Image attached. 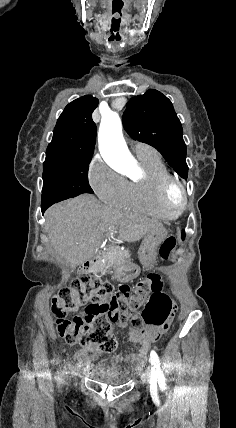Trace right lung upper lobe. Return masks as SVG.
<instances>
[{
  "label": "right lung upper lobe",
  "mask_w": 236,
  "mask_h": 428,
  "mask_svg": "<svg viewBox=\"0 0 236 428\" xmlns=\"http://www.w3.org/2000/svg\"><path fill=\"white\" fill-rule=\"evenodd\" d=\"M97 105V98L86 95L65 107L55 126L46 158H92L97 132L92 112Z\"/></svg>",
  "instance_id": "cb5924a9"
}]
</instances>
